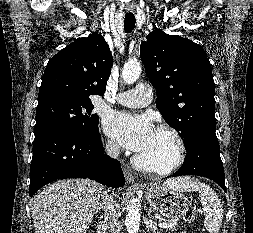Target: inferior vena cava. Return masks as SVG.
Returning <instances> with one entry per match:
<instances>
[{"label":"inferior vena cava","instance_id":"obj_1","mask_svg":"<svg viewBox=\"0 0 253 233\" xmlns=\"http://www.w3.org/2000/svg\"><path fill=\"white\" fill-rule=\"evenodd\" d=\"M107 154L113 158H117L120 152V147L116 142H108L106 144ZM102 200L104 205V224L102 229L108 231V233H120L121 226L119 223V214L117 212L116 204L113 203V198L102 192Z\"/></svg>","mask_w":253,"mask_h":233}]
</instances>
